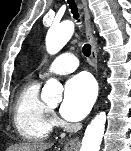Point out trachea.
I'll return each instance as SVG.
<instances>
[{
  "label": "trachea",
  "instance_id": "3493384b",
  "mask_svg": "<svg viewBox=\"0 0 131 151\" xmlns=\"http://www.w3.org/2000/svg\"><path fill=\"white\" fill-rule=\"evenodd\" d=\"M67 1L69 4V7L71 9V12L73 14V17L78 20L79 14H78V9H77V6L75 4V1L74 0H67ZM82 52L86 57H89L91 54V45L85 44L82 48Z\"/></svg>",
  "mask_w": 131,
  "mask_h": 151
}]
</instances>
